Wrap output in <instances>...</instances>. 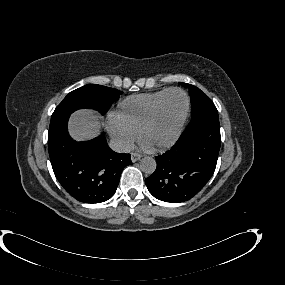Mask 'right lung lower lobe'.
I'll use <instances>...</instances> for the list:
<instances>
[{"mask_svg":"<svg viewBox=\"0 0 285 285\" xmlns=\"http://www.w3.org/2000/svg\"><path fill=\"white\" fill-rule=\"evenodd\" d=\"M70 115L50 123L49 156L54 174L63 188L83 203H100L116 192L130 154L111 150L101 134L90 141L75 142L67 131Z\"/></svg>","mask_w":285,"mask_h":285,"instance_id":"obj_1","label":"right lung lower lobe"}]
</instances>
